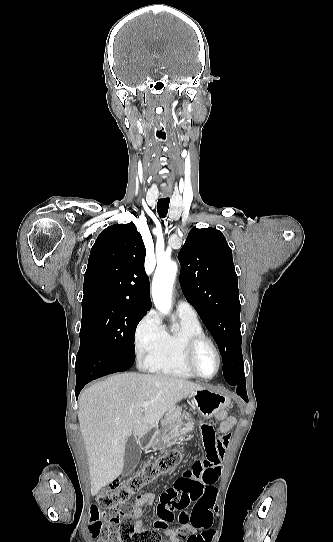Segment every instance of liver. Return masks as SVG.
I'll return each instance as SVG.
<instances>
[{
	"mask_svg": "<svg viewBox=\"0 0 333 542\" xmlns=\"http://www.w3.org/2000/svg\"><path fill=\"white\" fill-rule=\"evenodd\" d=\"M196 390L204 388L185 378L131 372L114 374L82 392L78 420L87 452L91 496L120 476L128 438L142 440L167 410ZM143 402H150L148 408H142Z\"/></svg>",
	"mask_w": 333,
	"mask_h": 542,
	"instance_id": "obj_1",
	"label": "liver"
}]
</instances>
